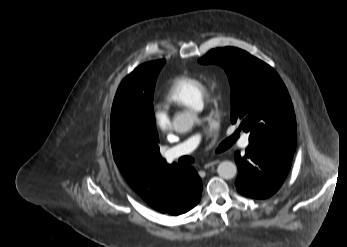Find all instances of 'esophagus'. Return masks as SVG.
Wrapping results in <instances>:
<instances>
[{
  "label": "esophagus",
  "instance_id": "1",
  "mask_svg": "<svg viewBox=\"0 0 347 247\" xmlns=\"http://www.w3.org/2000/svg\"><path fill=\"white\" fill-rule=\"evenodd\" d=\"M220 161L219 160H210L205 163L204 168L207 169L213 165H217Z\"/></svg>",
  "mask_w": 347,
  "mask_h": 247
}]
</instances>
